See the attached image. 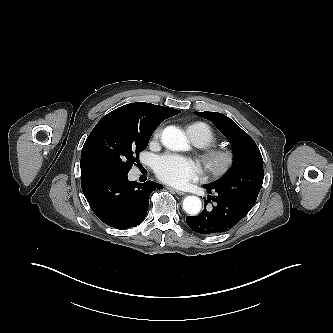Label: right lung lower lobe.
Instances as JSON below:
<instances>
[{
	"mask_svg": "<svg viewBox=\"0 0 333 333\" xmlns=\"http://www.w3.org/2000/svg\"><path fill=\"white\" fill-rule=\"evenodd\" d=\"M127 174L101 173L81 179L93 212L102 222L118 229L140 224L148 210L150 193L163 188L153 181L131 182Z\"/></svg>",
	"mask_w": 333,
	"mask_h": 333,
	"instance_id": "obj_1",
	"label": "right lung lower lobe"
}]
</instances>
